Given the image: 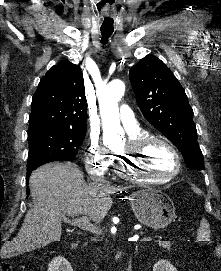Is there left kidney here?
Returning <instances> with one entry per match:
<instances>
[{"mask_svg": "<svg viewBox=\"0 0 221 271\" xmlns=\"http://www.w3.org/2000/svg\"><path fill=\"white\" fill-rule=\"evenodd\" d=\"M153 271H177V269L170 261H167V259H159V261H156L155 265H153Z\"/></svg>", "mask_w": 221, "mask_h": 271, "instance_id": "left-kidney-1", "label": "left kidney"}]
</instances>
